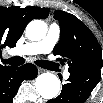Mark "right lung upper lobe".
<instances>
[{"label":"right lung upper lobe","instance_id":"cb5924a9","mask_svg":"<svg viewBox=\"0 0 103 103\" xmlns=\"http://www.w3.org/2000/svg\"><path fill=\"white\" fill-rule=\"evenodd\" d=\"M49 9L39 7H0V56L1 49L14 47L26 25L35 18H46ZM5 66L0 65V69Z\"/></svg>","mask_w":103,"mask_h":103}]
</instances>
